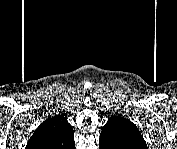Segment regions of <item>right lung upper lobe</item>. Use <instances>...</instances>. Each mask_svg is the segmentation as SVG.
Wrapping results in <instances>:
<instances>
[{
  "label": "right lung upper lobe",
  "instance_id": "right-lung-upper-lobe-1",
  "mask_svg": "<svg viewBox=\"0 0 177 149\" xmlns=\"http://www.w3.org/2000/svg\"><path fill=\"white\" fill-rule=\"evenodd\" d=\"M29 149H74V133L65 114L50 117L38 126L27 144Z\"/></svg>",
  "mask_w": 177,
  "mask_h": 149
}]
</instances>
